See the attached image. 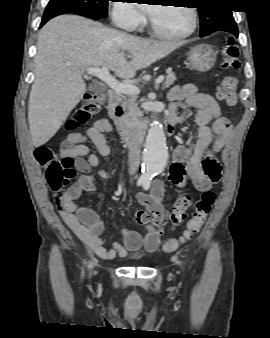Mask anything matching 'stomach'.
<instances>
[{
    "label": "stomach",
    "mask_w": 270,
    "mask_h": 338,
    "mask_svg": "<svg viewBox=\"0 0 270 338\" xmlns=\"http://www.w3.org/2000/svg\"><path fill=\"white\" fill-rule=\"evenodd\" d=\"M188 61L191 70L207 72L215 64L216 54L209 45L200 44L191 49Z\"/></svg>",
    "instance_id": "0dacf381"
}]
</instances>
